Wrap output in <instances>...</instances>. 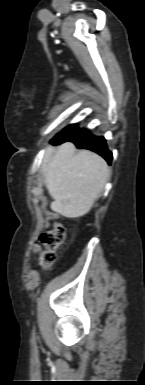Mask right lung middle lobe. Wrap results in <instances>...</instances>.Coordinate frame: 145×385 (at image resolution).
<instances>
[{"mask_svg": "<svg viewBox=\"0 0 145 385\" xmlns=\"http://www.w3.org/2000/svg\"><path fill=\"white\" fill-rule=\"evenodd\" d=\"M71 126H73V125H69L68 127H66L63 131H65V130H67V129H69Z\"/></svg>", "mask_w": 145, "mask_h": 385, "instance_id": "1", "label": "right lung middle lobe"}]
</instances>
